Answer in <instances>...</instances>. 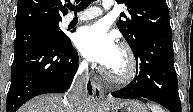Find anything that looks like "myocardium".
Instances as JSON below:
<instances>
[{"mask_svg":"<svg viewBox=\"0 0 193 112\" xmlns=\"http://www.w3.org/2000/svg\"><path fill=\"white\" fill-rule=\"evenodd\" d=\"M118 48L122 51L125 57V69L122 73L116 74L111 72L106 66L102 68V73L104 77L116 84V85H126L130 83L136 74L137 64L135 55L131 47L126 42H121L118 45Z\"/></svg>","mask_w":193,"mask_h":112,"instance_id":"myocardium-1","label":"myocardium"}]
</instances>
